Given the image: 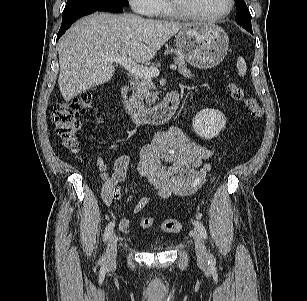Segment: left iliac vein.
<instances>
[{
  "instance_id": "4c4485c4",
  "label": "left iliac vein",
  "mask_w": 307,
  "mask_h": 301,
  "mask_svg": "<svg viewBox=\"0 0 307 301\" xmlns=\"http://www.w3.org/2000/svg\"><path fill=\"white\" fill-rule=\"evenodd\" d=\"M192 237L195 244V252L198 262L201 264H206L208 261V253L201 234L196 230H193Z\"/></svg>"
}]
</instances>
